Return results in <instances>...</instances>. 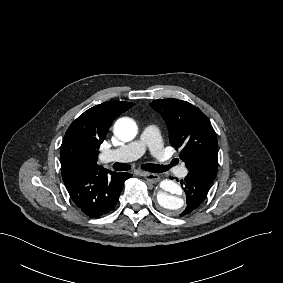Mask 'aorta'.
I'll return each mask as SVG.
<instances>
[{
    "mask_svg": "<svg viewBox=\"0 0 283 283\" xmlns=\"http://www.w3.org/2000/svg\"><path fill=\"white\" fill-rule=\"evenodd\" d=\"M138 132L136 122L129 117H122L114 124V134L118 139L128 142L133 140ZM161 190L157 193V202L167 213L178 215L184 207L181 197L182 188L172 180H163Z\"/></svg>",
    "mask_w": 283,
    "mask_h": 283,
    "instance_id": "762f6f07",
    "label": "aorta"
}]
</instances>
